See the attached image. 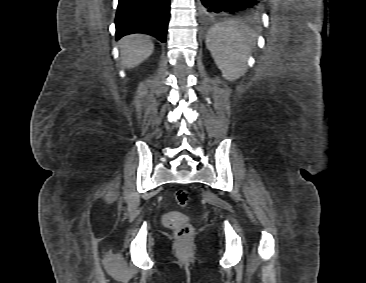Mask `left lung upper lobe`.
<instances>
[{"instance_id":"obj_1","label":"left lung upper lobe","mask_w":366,"mask_h":283,"mask_svg":"<svg viewBox=\"0 0 366 283\" xmlns=\"http://www.w3.org/2000/svg\"><path fill=\"white\" fill-rule=\"evenodd\" d=\"M250 14L257 16L260 13V9H258L257 11H250Z\"/></svg>"}]
</instances>
